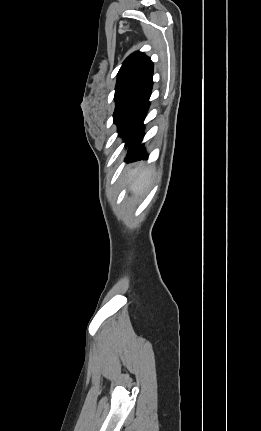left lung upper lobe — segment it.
Returning <instances> with one entry per match:
<instances>
[{"label":"left lung upper lobe","mask_w":261,"mask_h":431,"mask_svg":"<svg viewBox=\"0 0 261 431\" xmlns=\"http://www.w3.org/2000/svg\"><path fill=\"white\" fill-rule=\"evenodd\" d=\"M152 75L153 63L142 52L131 54L123 62L117 75L114 97L116 107L113 121L117 124L118 128L127 108Z\"/></svg>","instance_id":"5c2ea615"}]
</instances>
